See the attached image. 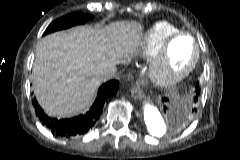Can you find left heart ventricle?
<instances>
[{
	"label": "left heart ventricle",
	"mask_w": 240,
	"mask_h": 160,
	"mask_svg": "<svg viewBox=\"0 0 240 160\" xmlns=\"http://www.w3.org/2000/svg\"><path fill=\"white\" fill-rule=\"evenodd\" d=\"M193 52V45L189 38L183 37L175 40L169 51L167 69H182L190 61Z\"/></svg>",
	"instance_id": "left-heart-ventricle-1"
}]
</instances>
